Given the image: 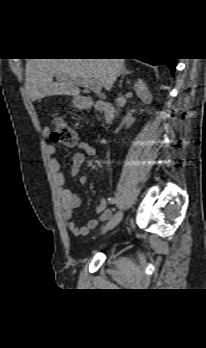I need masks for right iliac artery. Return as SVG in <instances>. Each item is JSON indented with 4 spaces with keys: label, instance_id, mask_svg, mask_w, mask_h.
<instances>
[{
    "label": "right iliac artery",
    "instance_id": "obj_1",
    "mask_svg": "<svg viewBox=\"0 0 206 348\" xmlns=\"http://www.w3.org/2000/svg\"><path fill=\"white\" fill-rule=\"evenodd\" d=\"M115 200V197L113 195L108 196V201L113 202Z\"/></svg>",
    "mask_w": 206,
    "mask_h": 348
}]
</instances>
